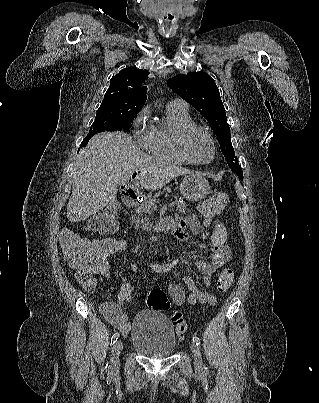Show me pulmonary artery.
Wrapping results in <instances>:
<instances>
[{
    "label": "pulmonary artery",
    "instance_id": "obj_1",
    "mask_svg": "<svg viewBox=\"0 0 319 403\" xmlns=\"http://www.w3.org/2000/svg\"><path fill=\"white\" fill-rule=\"evenodd\" d=\"M169 105L181 107V108H184V109H188L187 103L185 101L181 100V99H174L173 101H171L169 103Z\"/></svg>",
    "mask_w": 319,
    "mask_h": 403
}]
</instances>
